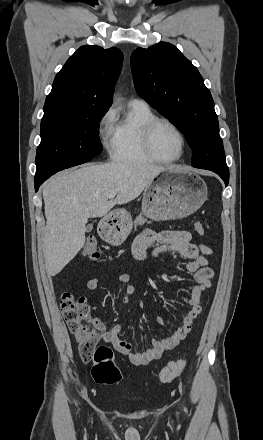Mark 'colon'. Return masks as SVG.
Listing matches in <instances>:
<instances>
[{"mask_svg": "<svg viewBox=\"0 0 263 440\" xmlns=\"http://www.w3.org/2000/svg\"><path fill=\"white\" fill-rule=\"evenodd\" d=\"M196 232L203 236L205 228L195 224ZM85 256L96 260L100 256L96 241L88 239L83 247ZM60 308L68 328L77 341L78 355L83 361H92V377L95 382L113 384L122 380V376L113 362V352L109 347L97 346L99 333L93 325V317L86 299L64 292L60 297ZM186 358L172 361L159 375L163 385L170 383L184 369Z\"/></svg>", "mask_w": 263, "mask_h": 440, "instance_id": "obj_1", "label": "colon"}]
</instances>
